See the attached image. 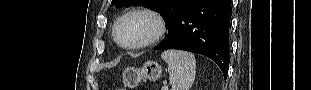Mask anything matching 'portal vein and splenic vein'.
Here are the masks:
<instances>
[{
	"mask_svg": "<svg viewBox=\"0 0 311 90\" xmlns=\"http://www.w3.org/2000/svg\"><path fill=\"white\" fill-rule=\"evenodd\" d=\"M168 89V87L167 86H164L163 88H162V90H167Z\"/></svg>",
	"mask_w": 311,
	"mask_h": 90,
	"instance_id": "18ae733b",
	"label": "portal vein and splenic vein"
}]
</instances>
